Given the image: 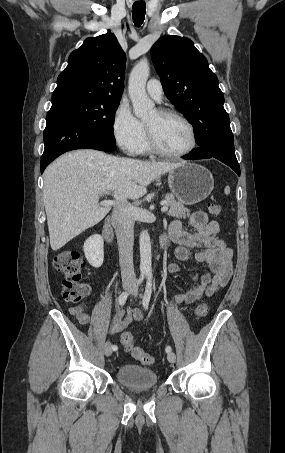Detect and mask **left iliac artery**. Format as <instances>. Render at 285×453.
<instances>
[{
	"label": "left iliac artery",
	"mask_w": 285,
	"mask_h": 453,
	"mask_svg": "<svg viewBox=\"0 0 285 453\" xmlns=\"http://www.w3.org/2000/svg\"><path fill=\"white\" fill-rule=\"evenodd\" d=\"M151 294H152V273L147 272V284H146V288H145V292H144V296H143V307L145 309H148ZM165 350L167 353H169V352H171L172 348L170 346H167Z\"/></svg>",
	"instance_id": "left-iliac-artery-1"
}]
</instances>
